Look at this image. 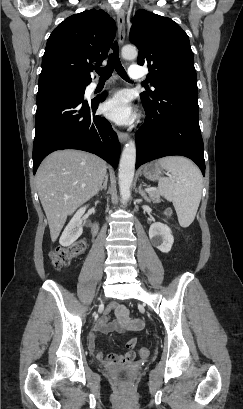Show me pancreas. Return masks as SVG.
<instances>
[{
	"instance_id": "obj_1",
	"label": "pancreas",
	"mask_w": 243,
	"mask_h": 409,
	"mask_svg": "<svg viewBox=\"0 0 243 409\" xmlns=\"http://www.w3.org/2000/svg\"><path fill=\"white\" fill-rule=\"evenodd\" d=\"M149 200L150 201H159L160 200L159 193L157 191L149 192Z\"/></svg>"
}]
</instances>
